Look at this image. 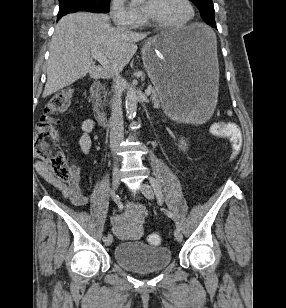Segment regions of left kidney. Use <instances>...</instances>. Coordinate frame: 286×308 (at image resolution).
Masks as SVG:
<instances>
[{
    "label": "left kidney",
    "instance_id": "obj_1",
    "mask_svg": "<svg viewBox=\"0 0 286 308\" xmlns=\"http://www.w3.org/2000/svg\"><path fill=\"white\" fill-rule=\"evenodd\" d=\"M179 142H180L179 145H178L179 149L185 151L187 146H188L186 141L183 140V138H181V140Z\"/></svg>",
    "mask_w": 286,
    "mask_h": 308
}]
</instances>
